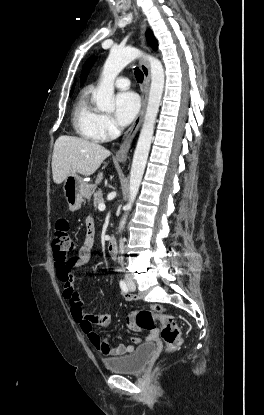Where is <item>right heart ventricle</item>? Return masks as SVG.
<instances>
[{
  "mask_svg": "<svg viewBox=\"0 0 264 415\" xmlns=\"http://www.w3.org/2000/svg\"><path fill=\"white\" fill-rule=\"evenodd\" d=\"M102 114L92 104L90 93L85 91L75 103L72 124L76 133L84 139L102 142L106 139L102 126Z\"/></svg>",
  "mask_w": 264,
  "mask_h": 415,
  "instance_id": "e07e8e85",
  "label": "right heart ventricle"
}]
</instances>
